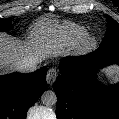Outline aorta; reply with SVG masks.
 Segmentation results:
<instances>
[{
    "label": "aorta",
    "mask_w": 119,
    "mask_h": 119,
    "mask_svg": "<svg viewBox=\"0 0 119 119\" xmlns=\"http://www.w3.org/2000/svg\"><path fill=\"white\" fill-rule=\"evenodd\" d=\"M41 102L45 106H53L57 102V96L54 91L47 90L41 96Z\"/></svg>",
    "instance_id": "aorta-1"
}]
</instances>
